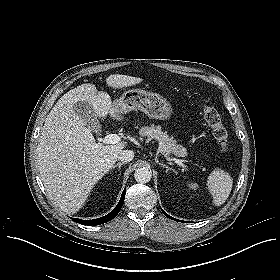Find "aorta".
I'll use <instances>...</instances> for the list:
<instances>
[{
	"label": "aorta",
	"instance_id": "obj_1",
	"mask_svg": "<svg viewBox=\"0 0 280 280\" xmlns=\"http://www.w3.org/2000/svg\"><path fill=\"white\" fill-rule=\"evenodd\" d=\"M134 178L138 183H147L152 178L151 170L147 167L138 168L134 173Z\"/></svg>",
	"mask_w": 280,
	"mask_h": 280
}]
</instances>
